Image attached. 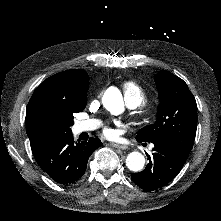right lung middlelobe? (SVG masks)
Instances as JSON below:
<instances>
[{"label": "right lung middle lobe", "instance_id": "obj_1", "mask_svg": "<svg viewBox=\"0 0 221 221\" xmlns=\"http://www.w3.org/2000/svg\"><path fill=\"white\" fill-rule=\"evenodd\" d=\"M84 108L47 96L37 97L27 106V130L40 147L60 141L72 134L73 114Z\"/></svg>", "mask_w": 221, "mask_h": 221}]
</instances>
